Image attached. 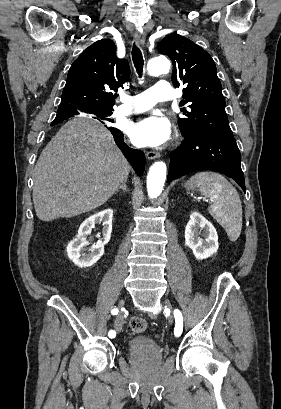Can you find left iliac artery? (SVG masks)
Wrapping results in <instances>:
<instances>
[{"instance_id": "left-iliac-artery-1", "label": "left iliac artery", "mask_w": 281, "mask_h": 409, "mask_svg": "<svg viewBox=\"0 0 281 409\" xmlns=\"http://www.w3.org/2000/svg\"><path fill=\"white\" fill-rule=\"evenodd\" d=\"M174 317H175V329H174V334L175 336H180L183 330V318L182 314L179 310L174 311Z\"/></svg>"}]
</instances>
